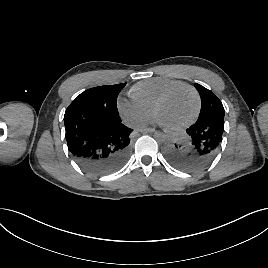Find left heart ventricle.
<instances>
[{
  "label": "left heart ventricle",
  "mask_w": 268,
  "mask_h": 268,
  "mask_svg": "<svg viewBox=\"0 0 268 268\" xmlns=\"http://www.w3.org/2000/svg\"><path fill=\"white\" fill-rule=\"evenodd\" d=\"M196 109V99L186 88L175 92L158 111L159 121L167 126H178L192 117Z\"/></svg>",
  "instance_id": "left-heart-ventricle-1"
}]
</instances>
